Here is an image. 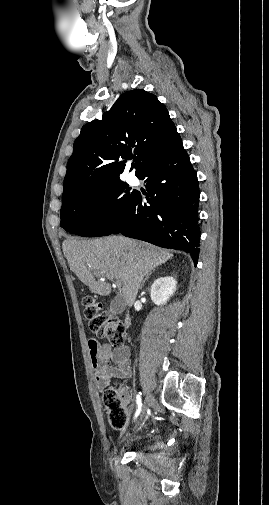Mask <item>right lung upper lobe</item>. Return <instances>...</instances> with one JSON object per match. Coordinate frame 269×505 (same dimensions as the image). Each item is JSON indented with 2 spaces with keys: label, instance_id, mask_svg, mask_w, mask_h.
Returning a JSON list of instances; mask_svg holds the SVG:
<instances>
[{
  "label": "right lung upper lobe",
  "instance_id": "1",
  "mask_svg": "<svg viewBox=\"0 0 269 505\" xmlns=\"http://www.w3.org/2000/svg\"><path fill=\"white\" fill-rule=\"evenodd\" d=\"M179 143L176 127L155 95L142 89L123 93L101 120L82 127L67 163L62 202L83 190L120 180L126 163L120 159L133 157L138 176Z\"/></svg>",
  "mask_w": 269,
  "mask_h": 505
}]
</instances>
